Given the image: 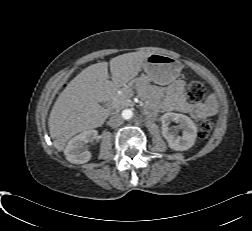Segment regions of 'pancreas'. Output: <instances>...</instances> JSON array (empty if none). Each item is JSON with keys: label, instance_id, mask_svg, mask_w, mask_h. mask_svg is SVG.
Listing matches in <instances>:
<instances>
[{"label": "pancreas", "instance_id": "obj_1", "mask_svg": "<svg viewBox=\"0 0 252 231\" xmlns=\"http://www.w3.org/2000/svg\"><path fill=\"white\" fill-rule=\"evenodd\" d=\"M147 84V83H146ZM144 84L142 88L146 85ZM148 89V88H147ZM130 96L127 94V90H122V94L118 95L116 97V100L114 102V106L116 109L124 108L126 106L130 105Z\"/></svg>", "mask_w": 252, "mask_h": 231}]
</instances>
